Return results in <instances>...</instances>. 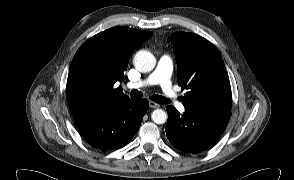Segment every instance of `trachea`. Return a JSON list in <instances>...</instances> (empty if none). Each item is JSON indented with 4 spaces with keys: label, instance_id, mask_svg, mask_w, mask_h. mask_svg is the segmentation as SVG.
Returning <instances> with one entry per match:
<instances>
[{
    "label": "trachea",
    "instance_id": "1",
    "mask_svg": "<svg viewBox=\"0 0 294 180\" xmlns=\"http://www.w3.org/2000/svg\"><path fill=\"white\" fill-rule=\"evenodd\" d=\"M143 94L142 92L136 90V89H133L131 92H130V97L131 98H140L142 97ZM150 99L158 104H168L169 103V99H167L166 97L164 96H160V95H152L150 97Z\"/></svg>",
    "mask_w": 294,
    "mask_h": 180
}]
</instances>
